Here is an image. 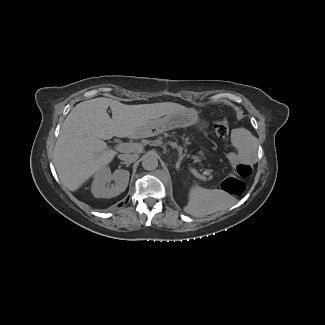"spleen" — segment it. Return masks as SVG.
Listing matches in <instances>:
<instances>
[{
  "label": "spleen",
  "mask_w": 325,
  "mask_h": 325,
  "mask_svg": "<svg viewBox=\"0 0 325 325\" xmlns=\"http://www.w3.org/2000/svg\"><path fill=\"white\" fill-rule=\"evenodd\" d=\"M233 204L231 196L222 190L206 189L193 185L189 189L186 213L202 217L229 208Z\"/></svg>",
  "instance_id": "obj_1"
}]
</instances>
